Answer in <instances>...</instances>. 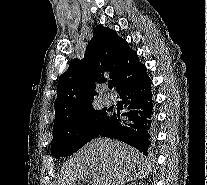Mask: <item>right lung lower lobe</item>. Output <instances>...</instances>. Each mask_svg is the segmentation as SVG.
<instances>
[{
    "mask_svg": "<svg viewBox=\"0 0 207 185\" xmlns=\"http://www.w3.org/2000/svg\"><path fill=\"white\" fill-rule=\"evenodd\" d=\"M124 107L113 113V119L99 135L119 139L139 151H146L151 143L154 124L151 82L146 71L116 87Z\"/></svg>",
    "mask_w": 207,
    "mask_h": 185,
    "instance_id": "right-lung-lower-lobe-1",
    "label": "right lung lower lobe"
}]
</instances>
